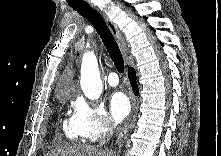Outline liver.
Returning a JSON list of instances; mask_svg holds the SVG:
<instances>
[{
	"label": "liver",
	"instance_id": "obj_1",
	"mask_svg": "<svg viewBox=\"0 0 221 156\" xmlns=\"http://www.w3.org/2000/svg\"><path fill=\"white\" fill-rule=\"evenodd\" d=\"M45 156H112V152L95 146H71L56 148Z\"/></svg>",
	"mask_w": 221,
	"mask_h": 156
}]
</instances>
